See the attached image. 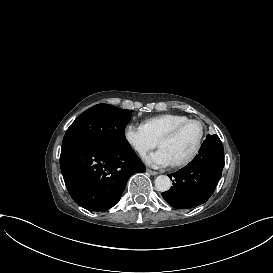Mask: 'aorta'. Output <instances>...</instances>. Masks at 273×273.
<instances>
[{
    "label": "aorta",
    "mask_w": 273,
    "mask_h": 273,
    "mask_svg": "<svg viewBox=\"0 0 273 273\" xmlns=\"http://www.w3.org/2000/svg\"><path fill=\"white\" fill-rule=\"evenodd\" d=\"M172 182L166 175H159L155 179V188L157 191L166 192L171 188Z\"/></svg>",
    "instance_id": "aorta-1"
}]
</instances>
